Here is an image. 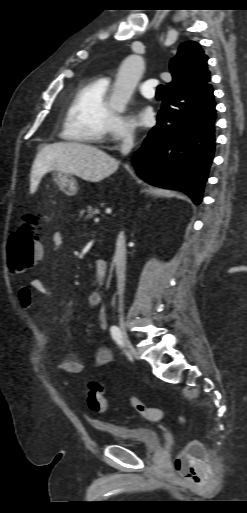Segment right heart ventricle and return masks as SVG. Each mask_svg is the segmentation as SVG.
I'll list each match as a JSON object with an SVG mask.
<instances>
[{"mask_svg": "<svg viewBox=\"0 0 247 513\" xmlns=\"http://www.w3.org/2000/svg\"><path fill=\"white\" fill-rule=\"evenodd\" d=\"M108 88L105 79L87 80L77 88L64 115V140L81 144L103 141L112 116L106 102Z\"/></svg>", "mask_w": 247, "mask_h": 513, "instance_id": "obj_1", "label": "right heart ventricle"}]
</instances>
